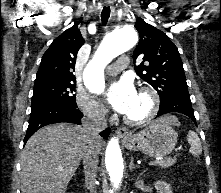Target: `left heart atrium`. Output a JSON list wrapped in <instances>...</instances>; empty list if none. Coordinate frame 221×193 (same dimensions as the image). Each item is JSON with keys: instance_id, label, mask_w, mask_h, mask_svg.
<instances>
[{"instance_id": "obj_1", "label": "left heart atrium", "mask_w": 221, "mask_h": 193, "mask_svg": "<svg viewBox=\"0 0 221 193\" xmlns=\"http://www.w3.org/2000/svg\"><path fill=\"white\" fill-rule=\"evenodd\" d=\"M138 93L128 78L115 81L109 87L106 98L110 106L121 114H127L136 102Z\"/></svg>"}]
</instances>
